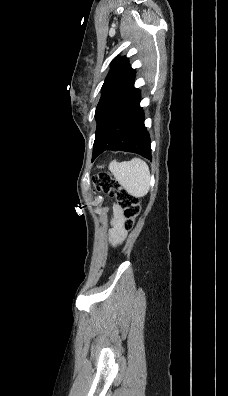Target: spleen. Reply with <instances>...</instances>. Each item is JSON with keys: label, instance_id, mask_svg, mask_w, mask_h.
Returning a JSON list of instances; mask_svg holds the SVG:
<instances>
[{"label": "spleen", "instance_id": "obj_1", "mask_svg": "<svg viewBox=\"0 0 228 396\" xmlns=\"http://www.w3.org/2000/svg\"><path fill=\"white\" fill-rule=\"evenodd\" d=\"M109 170L124 189L134 197L145 196L150 189L148 165L139 158L128 162H112Z\"/></svg>", "mask_w": 228, "mask_h": 396}]
</instances>
